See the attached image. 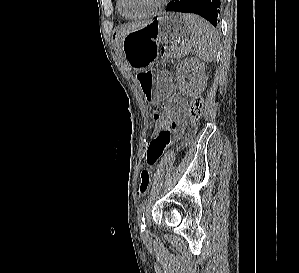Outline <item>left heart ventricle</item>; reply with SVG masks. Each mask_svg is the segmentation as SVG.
Listing matches in <instances>:
<instances>
[{"label": "left heart ventricle", "mask_w": 299, "mask_h": 273, "mask_svg": "<svg viewBox=\"0 0 299 273\" xmlns=\"http://www.w3.org/2000/svg\"><path fill=\"white\" fill-rule=\"evenodd\" d=\"M161 0H123V7L129 15H141L151 11Z\"/></svg>", "instance_id": "left-heart-ventricle-1"}]
</instances>
